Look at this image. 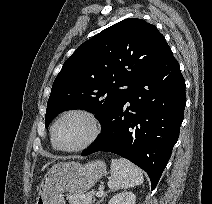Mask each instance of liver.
<instances>
[{"label": "liver", "mask_w": 212, "mask_h": 204, "mask_svg": "<svg viewBox=\"0 0 212 204\" xmlns=\"http://www.w3.org/2000/svg\"><path fill=\"white\" fill-rule=\"evenodd\" d=\"M50 163H47L43 166L42 171H44V169L49 165Z\"/></svg>", "instance_id": "6515ba94"}]
</instances>
